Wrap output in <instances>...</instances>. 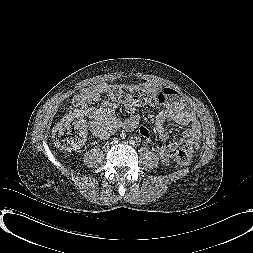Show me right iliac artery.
<instances>
[{
    "label": "right iliac artery",
    "mask_w": 253,
    "mask_h": 253,
    "mask_svg": "<svg viewBox=\"0 0 253 253\" xmlns=\"http://www.w3.org/2000/svg\"><path fill=\"white\" fill-rule=\"evenodd\" d=\"M118 142V139L117 138H114L113 139V143H117Z\"/></svg>",
    "instance_id": "1"
}]
</instances>
